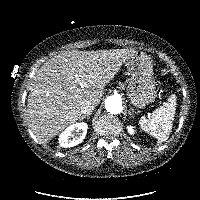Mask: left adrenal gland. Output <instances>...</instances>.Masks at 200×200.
<instances>
[{"instance_id": "obj_1", "label": "left adrenal gland", "mask_w": 200, "mask_h": 200, "mask_svg": "<svg viewBox=\"0 0 200 200\" xmlns=\"http://www.w3.org/2000/svg\"><path fill=\"white\" fill-rule=\"evenodd\" d=\"M134 114H136V112L134 111V109L130 108V111H129L130 117H134Z\"/></svg>"}]
</instances>
